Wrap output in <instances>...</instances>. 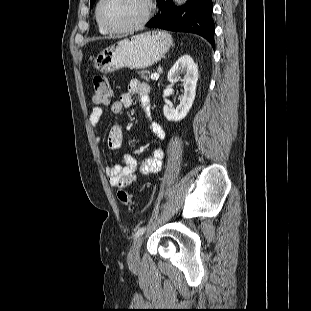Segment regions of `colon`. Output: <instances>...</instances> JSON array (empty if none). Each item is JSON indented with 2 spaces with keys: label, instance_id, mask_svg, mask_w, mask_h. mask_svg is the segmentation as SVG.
Listing matches in <instances>:
<instances>
[{
  "label": "colon",
  "instance_id": "1",
  "mask_svg": "<svg viewBox=\"0 0 311 311\" xmlns=\"http://www.w3.org/2000/svg\"><path fill=\"white\" fill-rule=\"evenodd\" d=\"M111 97L112 90L106 77L102 75L95 76L93 79V102L97 105H107L111 101ZM117 198L126 208H133L134 201L127 191L118 190Z\"/></svg>",
  "mask_w": 311,
  "mask_h": 311
}]
</instances>
